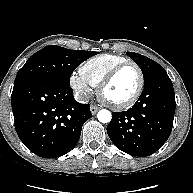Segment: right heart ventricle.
I'll return each instance as SVG.
<instances>
[{"mask_svg":"<svg viewBox=\"0 0 193 193\" xmlns=\"http://www.w3.org/2000/svg\"><path fill=\"white\" fill-rule=\"evenodd\" d=\"M129 61L123 56L100 54L84 61L79 73L93 87H98L102 79L117 65Z\"/></svg>","mask_w":193,"mask_h":193,"instance_id":"1","label":"right heart ventricle"}]
</instances>
